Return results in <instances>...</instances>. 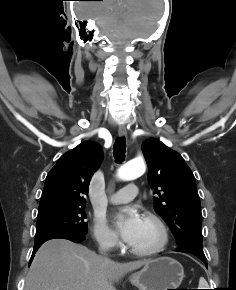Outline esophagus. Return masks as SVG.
<instances>
[{"mask_svg": "<svg viewBox=\"0 0 236 290\" xmlns=\"http://www.w3.org/2000/svg\"><path fill=\"white\" fill-rule=\"evenodd\" d=\"M118 134H119V136H121V137L127 135V130H126L125 125H123V124H120V125H119V128H118Z\"/></svg>", "mask_w": 236, "mask_h": 290, "instance_id": "esophagus-1", "label": "esophagus"}]
</instances>
